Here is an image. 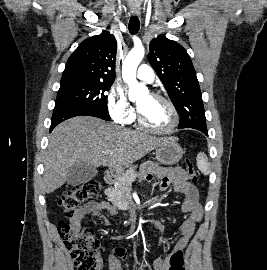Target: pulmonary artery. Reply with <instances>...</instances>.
<instances>
[{
    "instance_id": "pulmonary-artery-1",
    "label": "pulmonary artery",
    "mask_w": 267,
    "mask_h": 270,
    "mask_svg": "<svg viewBox=\"0 0 267 270\" xmlns=\"http://www.w3.org/2000/svg\"><path fill=\"white\" fill-rule=\"evenodd\" d=\"M137 77L144 82L152 83L154 81L155 74L150 66L142 64L137 70Z\"/></svg>"
}]
</instances>
